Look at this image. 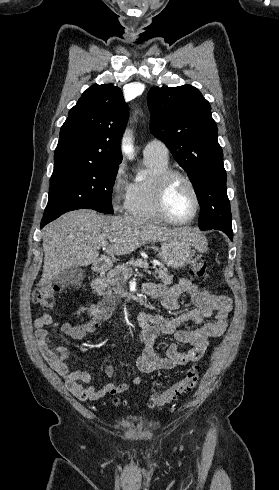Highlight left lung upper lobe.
I'll return each instance as SVG.
<instances>
[{
	"instance_id": "obj_1",
	"label": "left lung upper lobe",
	"mask_w": 279,
	"mask_h": 490,
	"mask_svg": "<svg viewBox=\"0 0 279 490\" xmlns=\"http://www.w3.org/2000/svg\"><path fill=\"white\" fill-rule=\"evenodd\" d=\"M151 133L188 173L200 205L199 228L232 230L226 172L211 107L191 85L153 87L147 96Z\"/></svg>"
}]
</instances>
